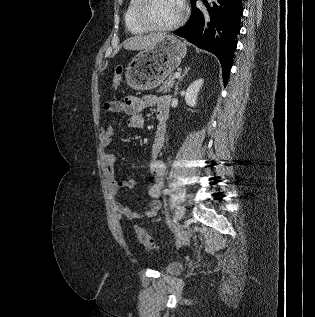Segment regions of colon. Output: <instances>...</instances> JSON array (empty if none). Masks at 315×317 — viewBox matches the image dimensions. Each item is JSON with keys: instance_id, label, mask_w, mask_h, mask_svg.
Segmentation results:
<instances>
[{"instance_id": "1", "label": "colon", "mask_w": 315, "mask_h": 317, "mask_svg": "<svg viewBox=\"0 0 315 317\" xmlns=\"http://www.w3.org/2000/svg\"><path fill=\"white\" fill-rule=\"evenodd\" d=\"M122 73L123 69L121 66H118L115 70L113 79H112V86L117 88L122 80ZM137 238L140 243L146 247L147 249H155L156 245L153 238L142 228L137 229Z\"/></svg>"}]
</instances>
